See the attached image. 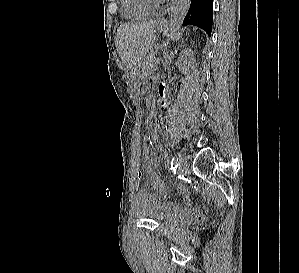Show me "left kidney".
<instances>
[{
  "instance_id": "left-kidney-1",
  "label": "left kidney",
  "mask_w": 299,
  "mask_h": 273,
  "mask_svg": "<svg viewBox=\"0 0 299 273\" xmlns=\"http://www.w3.org/2000/svg\"><path fill=\"white\" fill-rule=\"evenodd\" d=\"M195 62L194 55L191 49L182 51L177 60V67L183 73H187L193 67Z\"/></svg>"
}]
</instances>
